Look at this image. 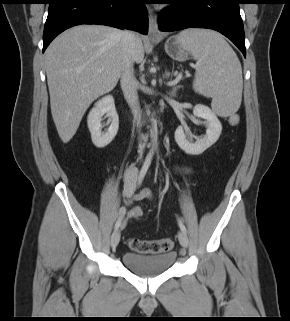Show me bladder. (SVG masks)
Segmentation results:
<instances>
[{
    "mask_svg": "<svg viewBox=\"0 0 290 321\" xmlns=\"http://www.w3.org/2000/svg\"><path fill=\"white\" fill-rule=\"evenodd\" d=\"M177 254L168 251L161 254L126 252L122 256L124 266L141 277H155L167 272L175 263Z\"/></svg>",
    "mask_w": 290,
    "mask_h": 321,
    "instance_id": "1",
    "label": "bladder"
}]
</instances>
